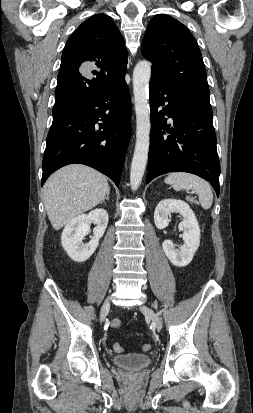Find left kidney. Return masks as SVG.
<instances>
[{
	"mask_svg": "<svg viewBox=\"0 0 253 413\" xmlns=\"http://www.w3.org/2000/svg\"><path fill=\"white\" fill-rule=\"evenodd\" d=\"M176 212L184 217V220L179 224V230L183 231L184 244L176 248V245L165 240L162 243V248L169 261L177 266H187L193 259L194 253L197 251L200 244V228L196 216L190 206L182 201L175 199L161 200L154 212V222L158 229H164L168 226L171 213Z\"/></svg>",
	"mask_w": 253,
	"mask_h": 413,
	"instance_id": "5707ae66",
	"label": "left kidney"
}]
</instances>
